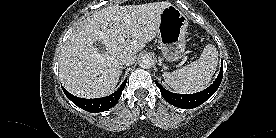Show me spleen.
Listing matches in <instances>:
<instances>
[{
    "label": "spleen",
    "instance_id": "obj_1",
    "mask_svg": "<svg viewBox=\"0 0 276 138\" xmlns=\"http://www.w3.org/2000/svg\"><path fill=\"white\" fill-rule=\"evenodd\" d=\"M218 64V52L214 45L208 44L197 61L173 72H164L165 82L176 92L191 94L205 89Z\"/></svg>",
    "mask_w": 276,
    "mask_h": 138
}]
</instances>
